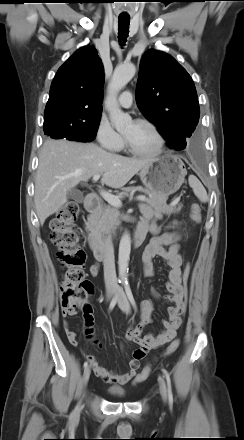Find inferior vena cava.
Returning a JSON list of instances; mask_svg holds the SVG:
<instances>
[{"instance_id": "602c4592", "label": "inferior vena cava", "mask_w": 244, "mask_h": 440, "mask_svg": "<svg viewBox=\"0 0 244 440\" xmlns=\"http://www.w3.org/2000/svg\"><path fill=\"white\" fill-rule=\"evenodd\" d=\"M103 265L106 289L113 291L117 288L118 285L115 270L114 248L110 237H106L104 239Z\"/></svg>"}]
</instances>
